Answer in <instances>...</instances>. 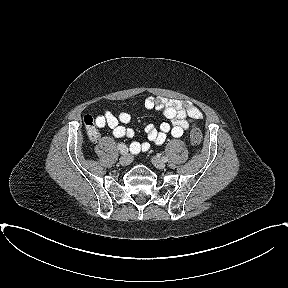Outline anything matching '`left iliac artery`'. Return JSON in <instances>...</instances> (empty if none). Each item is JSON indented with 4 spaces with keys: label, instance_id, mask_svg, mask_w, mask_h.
I'll return each instance as SVG.
<instances>
[{
    "label": "left iliac artery",
    "instance_id": "obj_1",
    "mask_svg": "<svg viewBox=\"0 0 288 288\" xmlns=\"http://www.w3.org/2000/svg\"><path fill=\"white\" fill-rule=\"evenodd\" d=\"M162 160L164 161V162H166L168 159H167V157H162Z\"/></svg>",
    "mask_w": 288,
    "mask_h": 288
}]
</instances>
